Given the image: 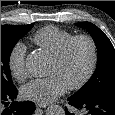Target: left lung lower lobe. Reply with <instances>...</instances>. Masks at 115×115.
Listing matches in <instances>:
<instances>
[{"instance_id": "left-lung-lower-lobe-1", "label": "left lung lower lobe", "mask_w": 115, "mask_h": 115, "mask_svg": "<svg viewBox=\"0 0 115 115\" xmlns=\"http://www.w3.org/2000/svg\"><path fill=\"white\" fill-rule=\"evenodd\" d=\"M69 105L85 110V115H115V96H99L79 101L72 96L68 98ZM66 115H74L65 109Z\"/></svg>"}]
</instances>
